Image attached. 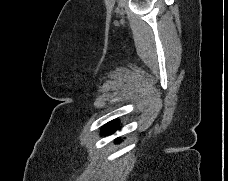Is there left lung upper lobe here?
Wrapping results in <instances>:
<instances>
[{"mask_svg":"<svg viewBox=\"0 0 228 181\" xmlns=\"http://www.w3.org/2000/svg\"><path fill=\"white\" fill-rule=\"evenodd\" d=\"M117 124H118L117 121H112V122L108 123L104 128H109V127L115 126Z\"/></svg>","mask_w":228,"mask_h":181,"instance_id":"1","label":"left lung upper lobe"}]
</instances>
